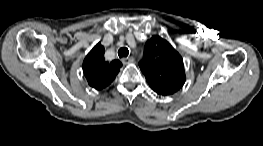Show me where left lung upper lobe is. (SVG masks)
Here are the masks:
<instances>
[{"label":"left lung upper lobe","instance_id":"5c2ea615","mask_svg":"<svg viewBox=\"0 0 263 146\" xmlns=\"http://www.w3.org/2000/svg\"><path fill=\"white\" fill-rule=\"evenodd\" d=\"M149 86L159 95H171L185 83L183 59L171 44L160 36H152L139 62Z\"/></svg>","mask_w":263,"mask_h":146}]
</instances>
